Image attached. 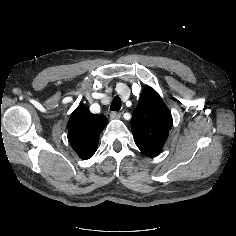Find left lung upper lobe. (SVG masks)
I'll list each match as a JSON object with an SVG mask.
<instances>
[{
    "instance_id": "obj_1",
    "label": "left lung upper lobe",
    "mask_w": 236,
    "mask_h": 236,
    "mask_svg": "<svg viewBox=\"0 0 236 236\" xmlns=\"http://www.w3.org/2000/svg\"><path fill=\"white\" fill-rule=\"evenodd\" d=\"M131 127L142 153L155 157L162 151L172 127V116L159 94L151 87L142 91Z\"/></svg>"
}]
</instances>
